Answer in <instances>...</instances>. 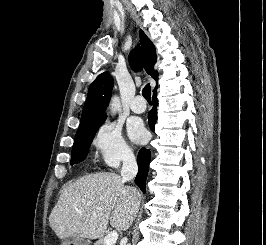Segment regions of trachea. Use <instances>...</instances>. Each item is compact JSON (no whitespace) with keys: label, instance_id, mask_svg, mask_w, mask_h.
<instances>
[{"label":"trachea","instance_id":"obj_1","mask_svg":"<svg viewBox=\"0 0 266 245\" xmlns=\"http://www.w3.org/2000/svg\"><path fill=\"white\" fill-rule=\"evenodd\" d=\"M142 94L143 97L147 100V102L151 103V87L149 83L144 87Z\"/></svg>","mask_w":266,"mask_h":245}]
</instances>
